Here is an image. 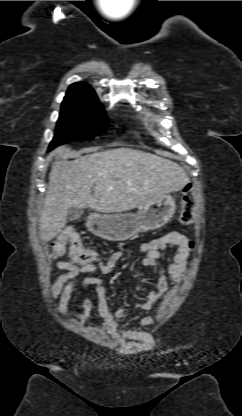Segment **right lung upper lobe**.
Here are the masks:
<instances>
[{
	"label": "right lung upper lobe",
	"instance_id": "1",
	"mask_svg": "<svg viewBox=\"0 0 242 416\" xmlns=\"http://www.w3.org/2000/svg\"><path fill=\"white\" fill-rule=\"evenodd\" d=\"M63 103L65 104H83V103H100L94 90L90 85L83 82H77L70 85Z\"/></svg>",
	"mask_w": 242,
	"mask_h": 416
}]
</instances>
